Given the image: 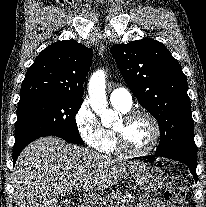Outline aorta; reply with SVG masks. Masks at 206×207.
Returning a JSON list of instances; mask_svg holds the SVG:
<instances>
[{"label":"aorta","mask_w":206,"mask_h":207,"mask_svg":"<svg viewBox=\"0 0 206 207\" xmlns=\"http://www.w3.org/2000/svg\"><path fill=\"white\" fill-rule=\"evenodd\" d=\"M88 93L90 106L100 116L104 125H110L118 119V113L108 108L105 91V74L103 71L94 73L89 81Z\"/></svg>","instance_id":"762f6f07"}]
</instances>
